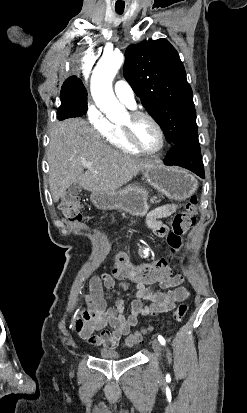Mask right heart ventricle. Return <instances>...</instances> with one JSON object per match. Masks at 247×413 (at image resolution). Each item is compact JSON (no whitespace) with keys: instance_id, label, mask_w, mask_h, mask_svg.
<instances>
[{"instance_id":"right-heart-ventricle-1","label":"right heart ventricle","mask_w":247,"mask_h":413,"mask_svg":"<svg viewBox=\"0 0 247 413\" xmlns=\"http://www.w3.org/2000/svg\"><path fill=\"white\" fill-rule=\"evenodd\" d=\"M106 141L110 145H116V151H121V154L131 156H141L142 153L136 150L126 139L123 129L120 126H110L108 133H104Z\"/></svg>"}]
</instances>
